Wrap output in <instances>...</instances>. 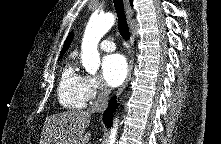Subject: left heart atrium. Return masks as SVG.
Returning a JSON list of instances; mask_svg holds the SVG:
<instances>
[{
  "label": "left heart atrium",
  "instance_id": "left-heart-atrium-1",
  "mask_svg": "<svg viewBox=\"0 0 221 144\" xmlns=\"http://www.w3.org/2000/svg\"><path fill=\"white\" fill-rule=\"evenodd\" d=\"M102 74L106 84L110 87L121 85L127 76V63L120 54L106 56L102 62Z\"/></svg>",
  "mask_w": 221,
  "mask_h": 144
}]
</instances>
